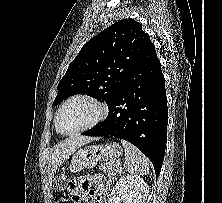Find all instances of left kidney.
I'll return each instance as SVG.
<instances>
[{"instance_id":"obj_1","label":"left kidney","mask_w":222,"mask_h":203,"mask_svg":"<svg viewBox=\"0 0 222 203\" xmlns=\"http://www.w3.org/2000/svg\"><path fill=\"white\" fill-rule=\"evenodd\" d=\"M149 187L143 178L134 175H123L114 185L109 203H145Z\"/></svg>"}]
</instances>
